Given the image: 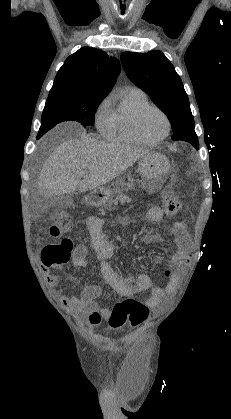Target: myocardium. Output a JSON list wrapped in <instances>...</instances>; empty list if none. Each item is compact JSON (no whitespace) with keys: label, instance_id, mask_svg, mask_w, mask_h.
<instances>
[{"label":"myocardium","instance_id":"1","mask_svg":"<svg viewBox=\"0 0 231 419\" xmlns=\"http://www.w3.org/2000/svg\"><path fill=\"white\" fill-rule=\"evenodd\" d=\"M151 109L158 111L163 116V118L165 119L166 125H167L166 132L161 137H159L157 139H154V140L146 138L144 136V134L142 133V130H141V119L144 116V114ZM132 127H133V131H134L135 136L138 138V140L140 142H142L143 144H146V145H157V144L161 143L162 141H164L169 136V134L171 132V121H170V118L167 115V113L162 108H160L157 105L147 104V105L141 107L135 113V115L133 117V120H132Z\"/></svg>","mask_w":231,"mask_h":419}]
</instances>
